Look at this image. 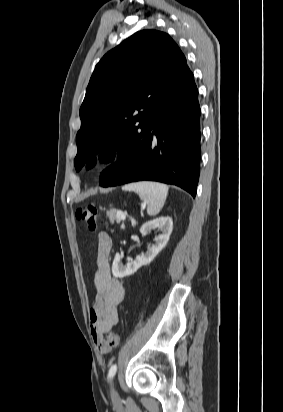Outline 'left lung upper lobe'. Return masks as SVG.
Listing matches in <instances>:
<instances>
[{
	"mask_svg": "<svg viewBox=\"0 0 283 412\" xmlns=\"http://www.w3.org/2000/svg\"><path fill=\"white\" fill-rule=\"evenodd\" d=\"M190 72L177 44L156 30L139 31L104 55L79 112L76 171L91 168L98 153L112 161L115 150L149 128Z\"/></svg>",
	"mask_w": 283,
	"mask_h": 412,
	"instance_id": "obj_1",
	"label": "left lung upper lobe"
}]
</instances>
